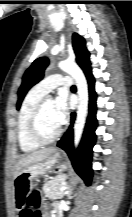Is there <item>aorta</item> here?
I'll list each match as a JSON object with an SVG mask.
<instances>
[{"instance_id": "762f6f07", "label": "aorta", "mask_w": 132, "mask_h": 217, "mask_svg": "<svg viewBox=\"0 0 132 217\" xmlns=\"http://www.w3.org/2000/svg\"><path fill=\"white\" fill-rule=\"evenodd\" d=\"M58 66L61 70L71 75L77 85L79 100H78L76 122L74 125V145L75 147H77L80 142L86 117H87L88 85L82 70L79 68V66L76 63L69 62V61H62L58 64Z\"/></svg>"}]
</instances>
